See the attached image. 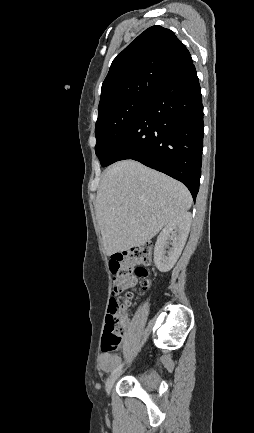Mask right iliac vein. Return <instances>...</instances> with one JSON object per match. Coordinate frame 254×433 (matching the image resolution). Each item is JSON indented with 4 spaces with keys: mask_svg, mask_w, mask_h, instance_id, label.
<instances>
[{
    "mask_svg": "<svg viewBox=\"0 0 254 433\" xmlns=\"http://www.w3.org/2000/svg\"><path fill=\"white\" fill-rule=\"evenodd\" d=\"M120 371L116 372L115 374H113L106 382V392L107 394H109L111 392V389L115 383V381L117 380L118 376L120 375Z\"/></svg>",
    "mask_w": 254,
    "mask_h": 433,
    "instance_id": "right-iliac-vein-1",
    "label": "right iliac vein"
}]
</instances>
